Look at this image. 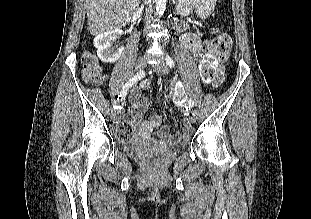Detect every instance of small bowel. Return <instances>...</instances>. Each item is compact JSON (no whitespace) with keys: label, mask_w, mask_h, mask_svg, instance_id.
Masks as SVG:
<instances>
[{"label":"small bowel","mask_w":311,"mask_h":219,"mask_svg":"<svg viewBox=\"0 0 311 219\" xmlns=\"http://www.w3.org/2000/svg\"><path fill=\"white\" fill-rule=\"evenodd\" d=\"M184 44L191 49L193 54L197 56L200 49V41L197 37H189L184 40ZM222 82L221 76L217 75L212 80L213 87H219ZM208 83V82H207ZM148 85V81H143L141 87L144 88ZM185 95L178 90L175 94V99L177 101L184 100ZM130 108L125 109L120 115L118 120L119 134L121 136H131L134 133H138L139 136L143 138H148L152 135L155 129L159 128L162 130L163 135L171 140L182 142L187 139L190 135V130L187 122L184 124V131L177 135L167 134V126L164 122L166 115L157 114L150 116L148 119L143 120L144 113L149 106V99L147 97H141L138 89H133L130 93Z\"/></svg>","instance_id":"c3829d8e"}]
</instances>
